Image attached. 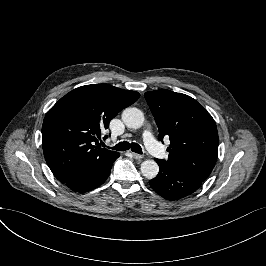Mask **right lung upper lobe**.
<instances>
[{
  "instance_id": "1",
  "label": "right lung upper lobe",
  "mask_w": 266,
  "mask_h": 266,
  "mask_svg": "<svg viewBox=\"0 0 266 266\" xmlns=\"http://www.w3.org/2000/svg\"><path fill=\"white\" fill-rule=\"evenodd\" d=\"M140 94L109 84L85 85L62 97L46 114L42 145L46 162L62 183L74 179L85 167L110 163L118 152L94 146L101 129Z\"/></svg>"
}]
</instances>
